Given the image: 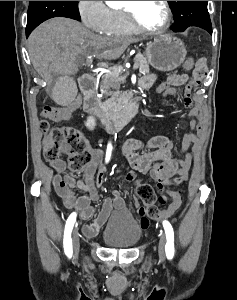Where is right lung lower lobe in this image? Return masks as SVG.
<instances>
[{
	"label": "right lung lower lobe",
	"mask_w": 237,
	"mask_h": 300,
	"mask_svg": "<svg viewBox=\"0 0 237 300\" xmlns=\"http://www.w3.org/2000/svg\"><path fill=\"white\" fill-rule=\"evenodd\" d=\"M32 28H27L26 27V36H28L32 32Z\"/></svg>",
	"instance_id": "obj_1"
}]
</instances>
